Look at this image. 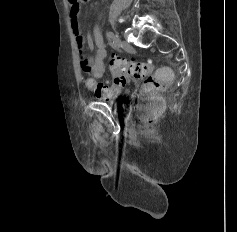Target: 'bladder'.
Here are the masks:
<instances>
[{
  "instance_id": "obj_1",
  "label": "bladder",
  "mask_w": 237,
  "mask_h": 232,
  "mask_svg": "<svg viewBox=\"0 0 237 232\" xmlns=\"http://www.w3.org/2000/svg\"><path fill=\"white\" fill-rule=\"evenodd\" d=\"M114 101H115V99H112V100H111V102H114Z\"/></svg>"
}]
</instances>
